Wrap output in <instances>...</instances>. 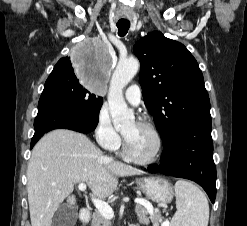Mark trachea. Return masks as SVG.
Returning a JSON list of instances; mask_svg holds the SVG:
<instances>
[{
	"label": "trachea",
	"instance_id": "trachea-1",
	"mask_svg": "<svg viewBox=\"0 0 247 226\" xmlns=\"http://www.w3.org/2000/svg\"><path fill=\"white\" fill-rule=\"evenodd\" d=\"M130 22H118L117 28H118V35L119 36H125L129 30Z\"/></svg>",
	"mask_w": 247,
	"mask_h": 226
}]
</instances>
